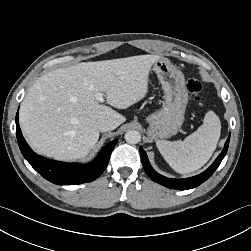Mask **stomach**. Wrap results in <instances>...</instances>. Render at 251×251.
<instances>
[{"instance_id":"0dacf381","label":"stomach","mask_w":251,"mask_h":251,"mask_svg":"<svg viewBox=\"0 0 251 251\" xmlns=\"http://www.w3.org/2000/svg\"><path fill=\"white\" fill-rule=\"evenodd\" d=\"M164 91L162 108L148 117L147 135L152 140H160L175 135L184 121L188 92L183 73L167 58H160L153 65Z\"/></svg>"}]
</instances>
